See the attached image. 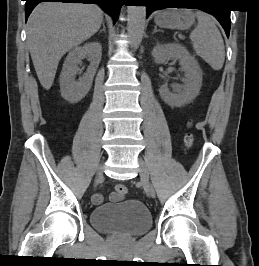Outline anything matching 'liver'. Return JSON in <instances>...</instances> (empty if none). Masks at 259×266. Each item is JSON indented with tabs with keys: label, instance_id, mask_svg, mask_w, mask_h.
I'll return each instance as SVG.
<instances>
[{
	"label": "liver",
	"instance_id": "liver-1",
	"mask_svg": "<svg viewBox=\"0 0 259 266\" xmlns=\"http://www.w3.org/2000/svg\"><path fill=\"white\" fill-rule=\"evenodd\" d=\"M103 11L83 3H40L27 22V43L38 79L49 90L62 56L101 27Z\"/></svg>",
	"mask_w": 259,
	"mask_h": 266
}]
</instances>
